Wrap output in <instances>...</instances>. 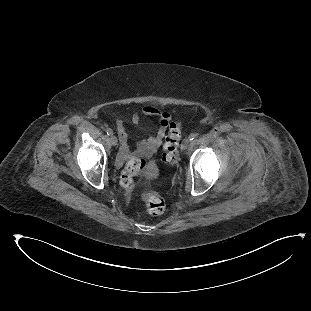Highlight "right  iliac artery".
I'll list each match as a JSON object with an SVG mask.
<instances>
[{
	"mask_svg": "<svg viewBox=\"0 0 311 311\" xmlns=\"http://www.w3.org/2000/svg\"><path fill=\"white\" fill-rule=\"evenodd\" d=\"M106 133H107V135H110V136L113 135V131L111 128H107Z\"/></svg>",
	"mask_w": 311,
	"mask_h": 311,
	"instance_id": "obj_1",
	"label": "right iliac artery"
}]
</instances>
